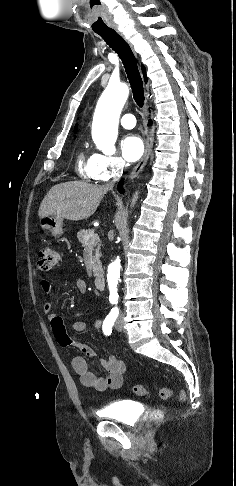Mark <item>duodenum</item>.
Instances as JSON below:
<instances>
[{
	"label": "duodenum",
	"instance_id": "obj_1",
	"mask_svg": "<svg viewBox=\"0 0 236 486\" xmlns=\"http://www.w3.org/2000/svg\"><path fill=\"white\" fill-rule=\"evenodd\" d=\"M94 285L98 290L105 289V276L102 273H98L94 277Z\"/></svg>",
	"mask_w": 236,
	"mask_h": 486
}]
</instances>
